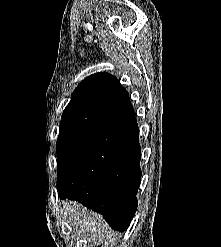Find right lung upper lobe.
<instances>
[{"label": "right lung upper lobe", "mask_w": 221, "mask_h": 247, "mask_svg": "<svg viewBox=\"0 0 221 247\" xmlns=\"http://www.w3.org/2000/svg\"><path fill=\"white\" fill-rule=\"evenodd\" d=\"M133 111L129 94L117 78L109 73H96L83 80L74 90L62 114L60 129H88Z\"/></svg>", "instance_id": "right-lung-upper-lobe-1"}]
</instances>
